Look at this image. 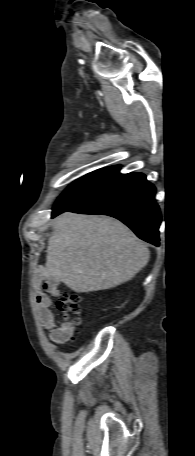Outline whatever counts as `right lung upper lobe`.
<instances>
[{
  "instance_id": "cb5924a9",
  "label": "right lung upper lobe",
  "mask_w": 195,
  "mask_h": 456,
  "mask_svg": "<svg viewBox=\"0 0 195 456\" xmlns=\"http://www.w3.org/2000/svg\"><path fill=\"white\" fill-rule=\"evenodd\" d=\"M109 168H116V169H119V166H112V167H109Z\"/></svg>"
}]
</instances>
